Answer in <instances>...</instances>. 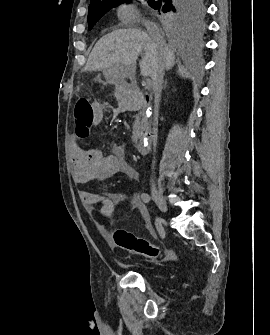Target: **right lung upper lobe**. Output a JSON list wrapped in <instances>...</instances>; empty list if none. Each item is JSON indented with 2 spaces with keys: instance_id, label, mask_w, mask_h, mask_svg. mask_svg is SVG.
<instances>
[{
  "instance_id": "right-lung-upper-lobe-1",
  "label": "right lung upper lobe",
  "mask_w": 270,
  "mask_h": 335,
  "mask_svg": "<svg viewBox=\"0 0 270 335\" xmlns=\"http://www.w3.org/2000/svg\"><path fill=\"white\" fill-rule=\"evenodd\" d=\"M120 0H91V3L89 5L90 6H99L102 4H106V3H115L118 2Z\"/></svg>"
}]
</instances>
